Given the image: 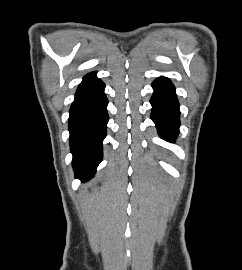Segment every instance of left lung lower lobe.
Segmentation results:
<instances>
[{
	"label": "left lung lower lobe",
	"mask_w": 242,
	"mask_h": 270,
	"mask_svg": "<svg viewBox=\"0 0 242 270\" xmlns=\"http://www.w3.org/2000/svg\"><path fill=\"white\" fill-rule=\"evenodd\" d=\"M152 87L151 118L155 122L161 137L172 142L179 133V104L172 83L163 77L156 79Z\"/></svg>",
	"instance_id": "obj_1"
}]
</instances>
